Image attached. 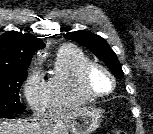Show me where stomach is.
Listing matches in <instances>:
<instances>
[{
	"label": "stomach",
	"instance_id": "1",
	"mask_svg": "<svg viewBox=\"0 0 153 134\" xmlns=\"http://www.w3.org/2000/svg\"><path fill=\"white\" fill-rule=\"evenodd\" d=\"M102 121V110L87 107L79 109L69 128L71 134H91Z\"/></svg>",
	"mask_w": 153,
	"mask_h": 134
}]
</instances>
